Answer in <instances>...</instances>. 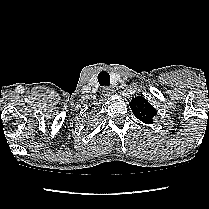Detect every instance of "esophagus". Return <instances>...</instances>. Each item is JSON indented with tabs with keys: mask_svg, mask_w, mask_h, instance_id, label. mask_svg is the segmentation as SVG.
<instances>
[{
	"mask_svg": "<svg viewBox=\"0 0 209 209\" xmlns=\"http://www.w3.org/2000/svg\"><path fill=\"white\" fill-rule=\"evenodd\" d=\"M114 94V90L111 89V88H108V87H105L103 89V95L106 96V97H110Z\"/></svg>",
	"mask_w": 209,
	"mask_h": 209,
	"instance_id": "obj_1",
	"label": "esophagus"
}]
</instances>
